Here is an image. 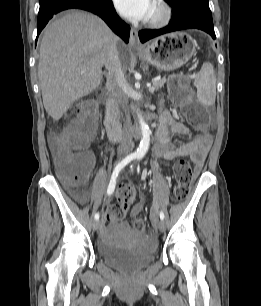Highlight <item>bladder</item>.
I'll use <instances>...</instances> for the list:
<instances>
[{"mask_svg": "<svg viewBox=\"0 0 261 306\" xmlns=\"http://www.w3.org/2000/svg\"><path fill=\"white\" fill-rule=\"evenodd\" d=\"M119 235L99 248L103 263L127 273L136 272L155 260L157 244L148 239H138L132 245H124Z\"/></svg>", "mask_w": 261, "mask_h": 306, "instance_id": "obj_1", "label": "bladder"}]
</instances>
